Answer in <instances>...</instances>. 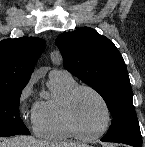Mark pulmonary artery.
Returning a JSON list of instances; mask_svg holds the SVG:
<instances>
[{
  "mask_svg": "<svg viewBox=\"0 0 145 147\" xmlns=\"http://www.w3.org/2000/svg\"><path fill=\"white\" fill-rule=\"evenodd\" d=\"M56 75L71 76V74L66 70L53 69V70L50 71L49 76H56Z\"/></svg>",
  "mask_w": 145,
  "mask_h": 147,
  "instance_id": "obj_1",
  "label": "pulmonary artery"
}]
</instances>
